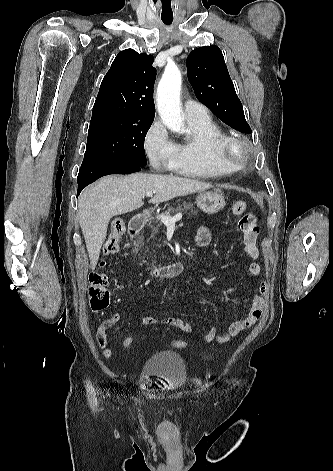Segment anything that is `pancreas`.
<instances>
[{"mask_svg":"<svg viewBox=\"0 0 333 471\" xmlns=\"http://www.w3.org/2000/svg\"><path fill=\"white\" fill-rule=\"evenodd\" d=\"M182 206H183V208H182ZM187 210H190L192 216H195L197 214V211H194V207H193L192 203L184 202L183 205L178 206L176 209L168 208V210L165 211L163 215L170 216L171 213L182 212V211H187ZM157 219L159 220L160 218L158 217ZM158 220L153 221V222L157 223L156 226L152 225L151 221L148 224V226L151 228V236L147 239V241H150L151 239H154V237L158 234L160 226L162 225V223H158ZM143 240H144V236L138 238V242H140V243H142ZM150 254H151V252H150ZM155 263H156V261L153 260L152 264H155Z\"/></svg>","mask_w":333,"mask_h":471,"instance_id":"1","label":"pancreas"}]
</instances>
